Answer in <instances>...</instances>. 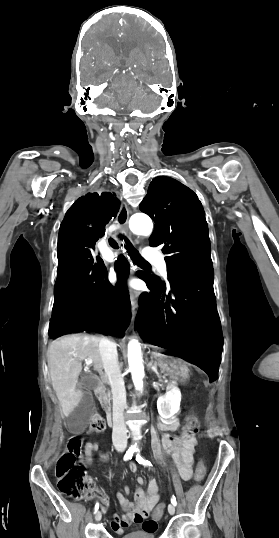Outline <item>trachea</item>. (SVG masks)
Returning <instances> with one entry per match:
<instances>
[{"label":"trachea","mask_w":279,"mask_h":538,"mask_svg":"<svg viewBox=\"0 0 279 538\" xmlns=\"http://www.w3.org/2000/svg\"><path fill=\"white\" fill-rule=\"evenodd\" d=\"M118 238L120 239H124L125 241V248L129 254V256L131 257V259L134 261V262H138L140 264H148V262H146V260H144V258H142L139 253L137 252V250L133 247V245L130 243V241L124 237V235H121L119 234L118 235ZM109 244L112 248H119L118 247V243L116 242V240H114L113 238H109Z\"/></svg>","instance_id":"3493384b"}]
</instances>
